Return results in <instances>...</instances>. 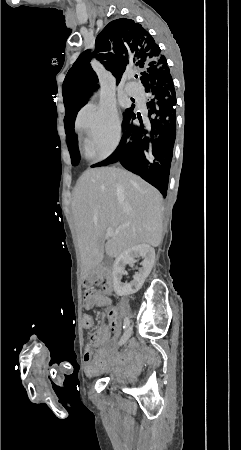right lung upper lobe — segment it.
I'll list each match as a JSON object with an SVG mask.
<instances>
[{
	"instance_id": "right-lung-upper-lobe-1",
	"label": "right lung upper lobe",
	"mask_w": 241,
	"mask_h": 450,
	"mask_svg": "<svg viewBox=\"0 0 241 450\" xmlns=\"http://www.w3.org/2000/svg\"><path fill=\"white\" fill-rule=\"evenodd\" d=\"M95 45L94 55L84 51L69 70L85 78L94 88L98 87V78L89 63L93 57L115 76L117 83L126 73L137 71L142 75L152 66L167 63L153 37L133 20L111 21L97 36Z\"/></svg>"
}]
</instances>
